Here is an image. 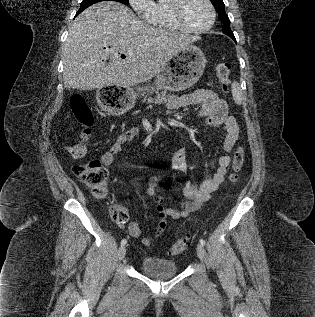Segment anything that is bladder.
Returning a JSON list of instances; mask_svg holds the SVG:
<instances>
[{
    "mask_svg": "<svg viewBox=\"0 0 315 317\" xmlns=\"http://www.w3.org/2000/svg\"><path fill=\"white\" fill-rule=\"evenodd\" d=\"M140 270L151 277L169 278L177 274L178 266L171 260L148 256L141 260Z\"/></svg>",
    "mask_w": 315,
    "mask_h": 317,
    "instance_id": "31cf9c89",
    "label": "bladder"
}]
</instances>
